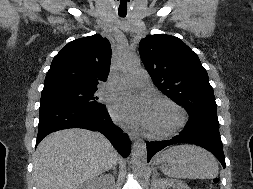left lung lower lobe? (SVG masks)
<instances>
[{"mask_svg": "<svg viewBox=\"0 0 253 189\" xmlns=\"http://www.w3.org/2000/svg\"><path fill=\"white\" fill-rule=\"evenodd\" d=\"M177 143L196 144L209 150L225 168V157L219 134L218 120L190 117L183 131L171 140L147 142L148 162L154 154L163 148Z\"/></svg>", "mask_w": 253, "mask_h": 189, "instance_id": "0a47b994", "label": "left lung lower lobe"}]
</instances>
